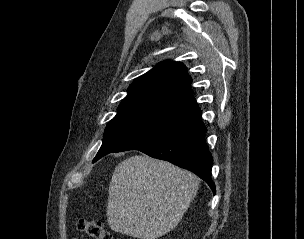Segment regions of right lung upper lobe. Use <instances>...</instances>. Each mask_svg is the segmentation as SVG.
<instances>
[{
  "instance_id": "obj_1",
  "label": "right lung upper lobe",
  "mask_w": 304,
  "mask_h": 239,
  "mask_svg": "<svg viewBox=\"0 0 304 239\" xmlns=\"http://www.w3.org/2000/svg\"><path fill=\"white\" fill-rule=\"evenodd\" d=\"M191 78L182 63L165 61L138 77L128 88L119 112L140 111L174 120L198 110Z\"/></svg>"
}]
</instances>
